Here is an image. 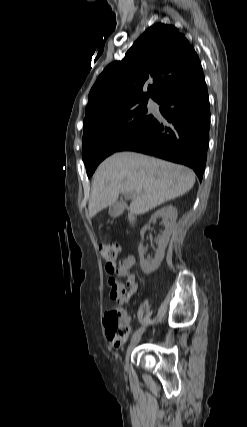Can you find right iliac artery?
<instances>
[{
	"mask_svg": "<svg viewBox=\"0 0 247 427\" xmlns=\"http://www.w3.org/2000/svg\"><path fill=\"white\" fill-rule=\"evenodd\" d=\"M143 330H144V327H140L139 329H137V330L134 332V334H133L132 338H134V337H136L137 335H139Z\"/></svg>",
	"mask_w": 247,
	"mask_h": 427,
	"instance_id": "1",
	"label": "right iliac artery"
}]
</instances>
